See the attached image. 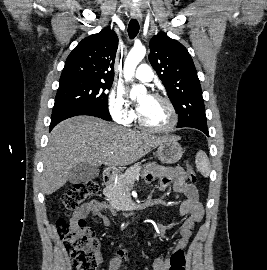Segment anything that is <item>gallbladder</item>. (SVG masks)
Returning <instances> with one entry per match:
<instances>
[{"label": "gallbladder", "instance_id": "1", "mask_svg": "<svg viewBox=\"0 0 267 270\" xmlns=\"http://www.w3.org/2000/svg\"><path fill=\"white\" fill-rule=\"evenodd\" d=\"M99 169L96 166L79 163L70 170L69 182L72 184L88 182L99 175Z\"/></svg>", "mask_w": 267, "mask_h": 270}]
</instances>
